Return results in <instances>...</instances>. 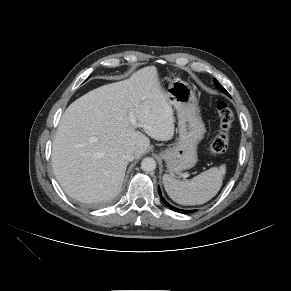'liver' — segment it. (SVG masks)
I'll list each match as a JSON object with an SVG mask.
<instances>
[{"mask_svg":"<svg viewBox=\"0 0 291 291\" xmlns=\"http://www.w3.org/2000/svg\"><path fill=\"white\" fill-rule=\"evenodd\" d=\"M131 116L151 138H173V110L154 66L98 87L68 106L54 138L52 167L69 196L92 203L120 192L128 165L124 152L134 147L137 159L150 145Z\"/></svg>","mask_w":291,"mask_h":291,"instance_id":"obj_1","label":"liver"}]
</instances>
